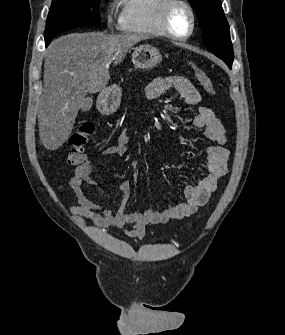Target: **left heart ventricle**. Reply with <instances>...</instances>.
<instances>
[{
	"label": "left heart ventricle",
	"instance_id": "obj_1",
	"mask_svg": "<svg viewBox=\"0 0 285 335\" xmlns=\"http://www.w3.org/2000/svg\"><path fill=\"white\" fill-rule=\"evenodd\" d=\"M186 18V13L181 8H177L174 16H173V23L175 26H181L184 23Z\"/></svg>",
	"mask_w": 285,
	"mask_h": 335
}]
</instances>
